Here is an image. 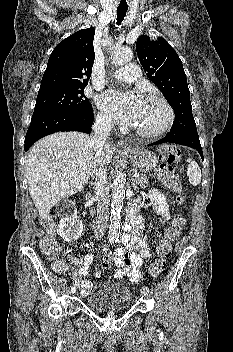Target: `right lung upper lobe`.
I'll return each instance as SVG.
<instances>
[{
	"label": "right lung upper lobe",
	"instance_id": "obj_1",
	"mask_svg": "<svg viewBox=\"0 0 233 352\" xmlns=\"http://www.w3.org/2000/svg\"><path fill=\"white\" fill-rule=\"evenodd\" d=\"M94 34L91 27L60 42L49 57L40 87L87 85L95 58Z\"/></svg>",
	"mask_w": 233,
	"mask_h": 352
}]
</instances>
